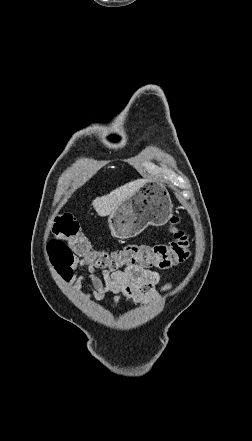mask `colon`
<instances>
[{
    "instance_id": "1",
    "label": "colon",
    "mask_w": 252,
    "mask_h": 441,
    "mask_svg": "<svg viewBox=\"0 0 252 441\" xmlns=\"http://www.w3.org/2000/svg\"><path fill=\"white\" fill-rule=\"evenodd\" d=\"M179 219H172L174 240L168 244L129 245L117 251L96 250L80 232L78 222L69 214L58 216L53 225L56 236L47 246L50 261L63 277L75 257H81L96 268L118 271L128 267L167 269L184 262L190 254L188 235L176 228Z\"/></svg>"
}]
</instances>
